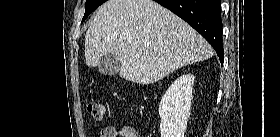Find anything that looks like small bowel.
I'll list each match as a JSON object with an SVG mask.
<instances>
[{
	"mask_svg": "<svg viewBox=\"0 0 280 137\" xmlns=\"http://www.w3.org/2000/svg\"><path fill=\"white\" fill-rule=\"evenodd\" d=\"M100 137H139V135L132 127L117 129L112 125H108L102 129Z\"/></svg>",
	"mask_w": 280,
	"mask_h": 137,
	"instance_id": "small-bowel-1",
	"label": "small bowel"
}]
</instances>
